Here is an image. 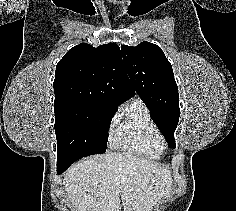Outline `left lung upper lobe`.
Masks as SVG:
<instances>
[{"label":"left lung upper lobe","mask_w":236,"mask_h":211,"mask_svg":"<svg viewBox=\"0 0 236 211\" xmlns=\"http://www.w3.org/2000/svg\"><path fill=\"white\" fill-rule=\"evenodd\" d=\"M121 52L132 89L150 110L168 145L175 148L174 132L180 109L171 63L159 46L149 42H141L136 47L122 45Z\"/></svg>","instance_id":"left-lung-upper-lobe-1"}]
</instances>
